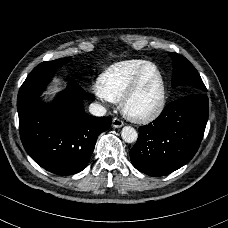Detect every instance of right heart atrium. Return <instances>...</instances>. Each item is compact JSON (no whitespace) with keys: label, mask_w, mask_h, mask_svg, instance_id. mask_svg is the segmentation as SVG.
Wrapping results in <instances>:
<instances>
[{"label":"right heart atrium","mask_w":228,"mask_h":228,"mask_svg":"<svg viewBox=\"0 0 228 228\" xmlns=\"http://www.w3.org/2000/svg\"><path fill=\"white\" fill-rule=\"evenodd\" d=\"M98 96L102 98V96L98 93Z\"/></svg>","instance_id":"obj_1"}]
</instances>
